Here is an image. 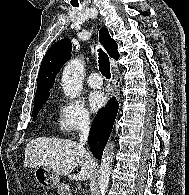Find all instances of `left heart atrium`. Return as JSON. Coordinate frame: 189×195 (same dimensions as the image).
I'll use <instances>...</instances> for the list:
<instances>
[{
    "instance_id": "1",
    "label": "left heart atrium",
    "mask_w": 189,
    "mask_h": 195,
    "mask_svg": "<svg viewBox=\"0 0 189 195\" xmlns=\"http://www.w3.org/2000/svg\"><path fill=\"white\" fill-rule=\"evenodd\" d=\"M106 102V97L101 91H93L88 96V103L92 111L99 110Z\"/></svg>"
}]
</instances>
